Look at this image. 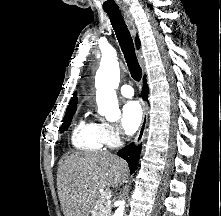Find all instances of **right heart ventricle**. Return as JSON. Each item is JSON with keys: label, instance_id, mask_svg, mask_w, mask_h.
Masks as SVG:
<instances>
[{"label": "right heart ventricle", "instance_id": "1", "mask_svg": "<svg viewBox=\"0 0 221 216\" xmlns=\"http://www.w3.org/2000/svg\"><path fill=\"white\" fill-rule=\"evenodd\" d=\"M72 145L80 150L98 151L103 147L99 124L82 118L74 127L71 134Z\"/></svg>", "mask_w": 221, "mask_h": 216}]
</instances>
